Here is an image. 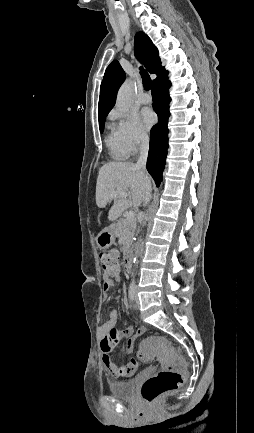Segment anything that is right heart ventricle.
<instances>
[{"label": "right heart ventricle", "mask_w": 254, "mask_h": 433, "mask_svg": "<svg viewBox=\"0 0 254 433\" xmlns=\"http://www.w3.org/2000/svg\"><path fill=\"white\" fill-rule=\"evenodd\" d=\"M105 143L109 150L110 156L113 159L122 160L128 156L122 147L114 125L109 126V133L106 136Z\"/></svg>", "instance_id": "1"}]
</instances>
